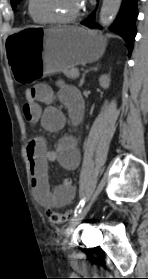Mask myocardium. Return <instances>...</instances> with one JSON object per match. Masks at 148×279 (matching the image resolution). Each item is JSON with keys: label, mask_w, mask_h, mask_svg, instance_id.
Returning a JSON list of instances; mask_svg holds the SVG:
<instances>
[{"label": "myocardium", "mask_w": 148, "mask_h": 279, "mask_svg": "<svg viewBox=\"0 0 148 279\" xmlns=\"http://www.w3.org/2000/svg\"><path fill=\"white\" fill-rule=\"evenodd\" d=\"M85 4L82 2V7L81 9L74 14L73 16L66 17V18H51V17H43L39 15L35 11V0H30L29 1V11L32 17L42 23H48V24H56V25H65V24H71L74 23L82 18L85 12Z\"/></svg>", "instance_id": "myocardium-1"}]
</instances>
